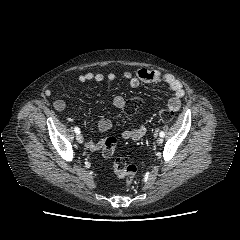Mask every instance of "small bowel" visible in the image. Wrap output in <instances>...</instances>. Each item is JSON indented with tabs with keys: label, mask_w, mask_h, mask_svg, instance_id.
<instances>
[{
	"label": "small bowel",
	"mask_w": 240,
	"mask_h": 240,
	"mask_svg": "<svg viewBox=\"0 0 240 240\" xmlns=\"http://www.w3.org/2000/svg\"><path fill=\"white\" fill-rule=\"evenodd\" d=\"M123 77L128 80L130 86L136 88L143 83H165L168 88L172 91V97L168 101V108L176 112L181 106V100L185 94L182 83L173 75L163 73L159 70L139 69L132 73L126 71L123 73ZM116 75L113 72L108 73H93L87 72L77 76V80L81 83L95 81L102 82L104 80L113 81ZM50 94V91H48ZM125 99L122 96H116L113 98L112 104L118 109H122L125 106ZM54 109L58 112H63L66 109V103L63 100H56L53 104ZM112 123L107 118H102L97 124V128L100 132H107L111 129ZM146 133V127L144 124H140L138 127L133 129H126L122 132V137L125 140L138 141ZM103 145V142H93L92 140L87 141V149L94 151L99 149Z\"/></svg>",
	"instance_id": "1"
}]
</instances>
